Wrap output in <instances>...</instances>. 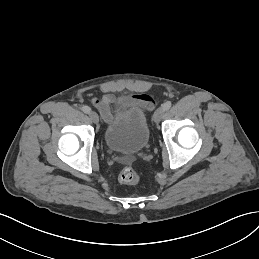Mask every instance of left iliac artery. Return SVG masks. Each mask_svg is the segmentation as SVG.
<instances>
[{
  "label": "left iliac artery",
  "instance_id": "obj_1",
  "mask_svg": "<svg viewBox=\"0 0 259 259\" xmlns=\"http://www.w3.org/2000/svg\"><path fill=\"white\" fill-rule=\"evenodd\" d=\"M171 106H172L171 101H167V102H165V103L162 105V108H163L165 111H167V110H169V109L171 108Z\"/></svg>",
  "mask_w": 259,
  "mask_h": 259
}]
</instances>
